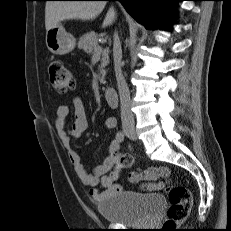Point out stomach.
<instances>
[{"label":"stomach","instance_id":"1","mask_svg":"<svg viewBox=\"0 0 231 231\" xmlns=\"http://www.w3.org/2000/svg\"><path fill=\"white\" fill-rule=\"evenodd\" d=\"M46 45L53 54L64 55L75 48L76 39L59 23L47 31Z\"/></svg>","mask_w":231,"mask_h":231}]
</instances>
